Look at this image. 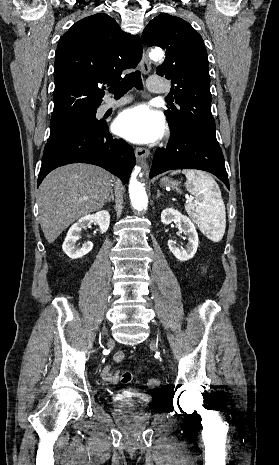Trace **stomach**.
Masks as SVG:
<instances>
[{
    "mask_svg": "<svg viewBox=\"0 0 279 465\" xmlns=\"http://www.w3.org/2000/svg\"><path fill=\"white\" fill-rule=\"evenodd\" d=\"M161 184L164 185V186H169V187H171L173 189H178V185H179V183L177 181H172V180H170L168 178H163L161 180Z\"/></svg>",
    "mask_w": 279,
    "mask_h": 465,
    "instance_id": "0dacf381",
    "label": "stomach"
}]
</instances>
